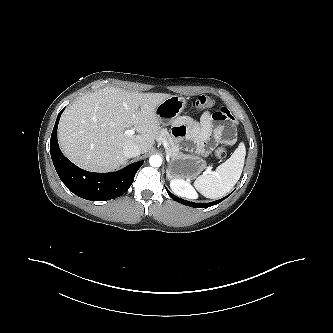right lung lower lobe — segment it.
I'll use <instances>...</instances> for the list:
<instances>
[{
	"label": "right lung lower lobe",
	"mask_w": 333,
	"mask_h": 333,
	"mask_svg": "<svg viewBox=\"0 0 333 333\" xmlns=\"http://www.w3.org/2000/svg\"><path fill=\"white\" fill-rule=\"evenodd\" d=\"M58 114L50 140V153L54 167L65 186L75 195L91 201H104L123 195L133 183L137 170L144 161L132 163L111 173H94L82 170L61 152L57 141Z\"/></svg>",
	"instance_id": "98d812e1"
}]
</instances>
